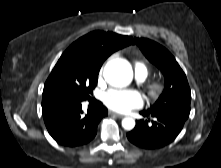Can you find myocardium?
Returning <instances> with one entry per match:
<instances>
[{"instance_id":"1","label":"myocardium","mask_w":221,"mask_h":168,"mask_svg":"<svg viewBox=\"0 0 221 168\" xmlns=\"http://www.w3.org/2000/svg\"><path fill=\"white\" fill-rule=\"evenodd\" d=\"M165 85L159 80L151 81L147 85V94L152 100H158L164 93Z\"/></svg>"}]
</instances>
